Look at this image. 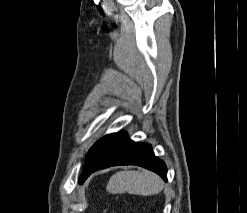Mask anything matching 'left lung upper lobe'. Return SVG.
Here are the masks:
<instances>
[{"instance_id":"obj_1","label":"left lung upper lobe","mask_w":247,"mask_h":213,"mask_svg":"<svg viewBox=\"0 0 247 213\" xmlns=\"http://www.w3.org/2000/svg\"><path fill=\"white\" fill-rule=\"evenodd\" d=\"M79 183H80V184L82 183L81 179H79Z\"/></svg>"}]
</instances>
